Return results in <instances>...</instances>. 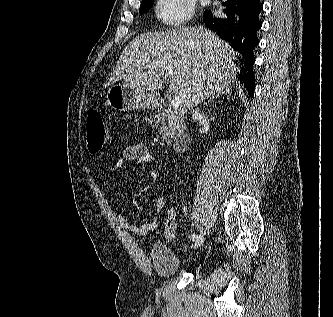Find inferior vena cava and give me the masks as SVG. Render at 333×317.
Listing matches in <instances>:
<instances>
[{
  "instance_id": "1",
  "label": "inferior vena cava",
  "mask_w": 333,
  "mask_h": 317,
  "mask_svg": "<svg viewBox=\"0 0 333 317\" xmlns=\"http://www.w3.org/2000/svg\"><path fill=\"white\" fill-rule=\"evenodd\" d=\"M198 112V108L195 110V113Z\"/></svg>"
}]
</instances>
